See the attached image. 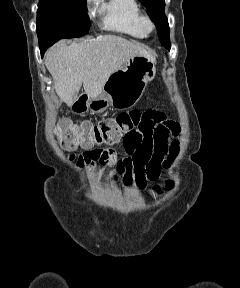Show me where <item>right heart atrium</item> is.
<instances>
[{"label": "right heart atrium", "instance_id": "1", "mask_svg": "<svg viewBox=\"0 0 240 288\" xmlns=\"http://www.w3.org/2000/svg\"><path fill=\"white\" fill-rule=\"evenodd\" d=\"M96 0H87V3L88 4H92V3H94Z\"/></svg>", "mask_w": 240, "mask_h": 288}]
</instances>
